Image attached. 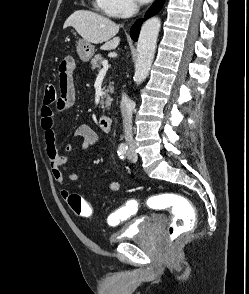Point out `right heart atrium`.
<instances>
[{
  "label": "right heart atrium",
  "instance_id": "d8ad5b80",
  "mask_svg": "<svg viewBox=\"0 0 249 294\" xmlns=\"http://www.w3.org/2000/svg\"><path fill=\"white\" fill-rule=\"evenodd\" d=\"M110 16L125 17L135 8V0H107Z\"/></svg>",
  "mask_w": 249,
  "mask_h": 294
}]
</instances>
